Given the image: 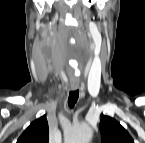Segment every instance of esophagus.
Listing matches in <instances>:
<instances>
[{"label":"esophagus","mask_w":145,"mask_h":143,"mask_svg":"<svg viewBox=\"0 0 145 143\" xmlns=\"http://www.w3.org/2000/svg\"><path fill=\"white\" fill-rule=\"evenodd\" d=\"M71 88H72L73 90H76V89L78 88V85H77V84H71Z\"/></svg>","instance_id":"1"}]
</instances>
